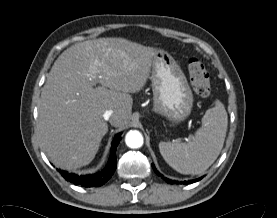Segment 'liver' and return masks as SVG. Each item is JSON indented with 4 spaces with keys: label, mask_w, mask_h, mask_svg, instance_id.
<instances>
[{
    "label": "liver",
    "mask_w": 277,
    "mask_h": 218,
    "mask_svg": "<svg viewBox=\"0 0 277 218\" xmlns=\"http://www.w3.org/2000/svg\"><path fill=\"white\" fill-rule=\"evenodd\" d=\"M157 50L123 38L77 43L54 62L38 107L41 145L58 167L88 165L98 152L110 123L128 124L133 99L149 78ZM101 86L94 88L95 84Z\"/></svg>",
    "instance_id": "1"
}]
</instances>
